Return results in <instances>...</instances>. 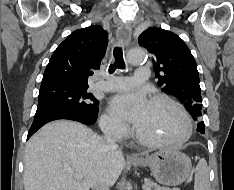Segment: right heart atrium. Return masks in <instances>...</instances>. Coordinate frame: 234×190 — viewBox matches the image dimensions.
Returning <instances> with one entry per match:
<instances>
[{
	"mask_svg": "<svg viewBox=\"0 0 234 190\" xmlns=\"http://www.w3.org/2000/svg\"><path fill=\"white\" fill-rule=\"evenodd\" d=\"M100 123L104 132L116 137H124L128 132L126 124L110 114H104Z\"/></svg>",
	"mask_w": 234,
	"mask_h": 190,
	"instance_id": "d8ad5b80",
	"label": "right heart atrium"
}]
</instances>
